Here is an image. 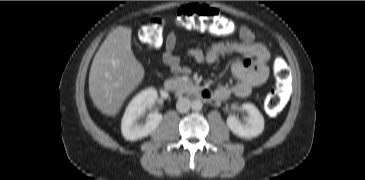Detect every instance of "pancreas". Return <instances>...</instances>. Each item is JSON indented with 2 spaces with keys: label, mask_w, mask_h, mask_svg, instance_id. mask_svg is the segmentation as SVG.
Returning a JSON list of instances; mask_svg holds the SVG:
<instances>
[{
  "label": "pancreas",
  "mask_w": 365,
  "mask_h": 180,
  "mask_svg": "<svg viewBox=\"0 0 365 180\" xmlns=\"http://www.w3.org/2000/svg\"><path fill=\"white\" fill-rule=\"evenodd\" d=\"M176 81H177L179 90L182 92L189 93L191 90H193L195 88L193 83L191 82V80L188 78L177 77Z\"/></svg>",
  "instance_id": "1"
}]
</instances>
